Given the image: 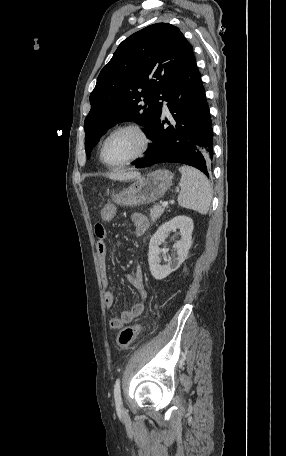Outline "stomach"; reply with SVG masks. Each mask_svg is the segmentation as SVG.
Segmentation results:
<instances>
[{"label":"stomach","mask_w":286,"mask_h":456,"mask_svg":"<svg viewBox=\"0 0 286 456\" xmlns=\"http://www.w3.org/2000/svg\"><path fill=\"white\" fill-rule=\"evenodd\" d=\"M170 171L159 169L148 173L112 197L121 206H140L161 198L172 184Z\"/></svg>","instance_id":"obj_1"}]
</instances>
